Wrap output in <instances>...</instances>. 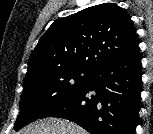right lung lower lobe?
I'll use <instances>...</instances> for the list:
<instances>
[{"label": "right lung lower lobe", "mask_w": 153, "mask_h": 134, "mask_svg": "<svg viewBox=\"0 0 153 134\" xmlns=\"http://www.w3.org/2000/svg\"><path fill=\"white\" fill-rule=\"evenodd\" d=\"M137 46L97 67L86 84L39 119L70 120L90 134H135L142 91Z\"/></svg>", "instance_id": "obj_1"}]
</instances>
